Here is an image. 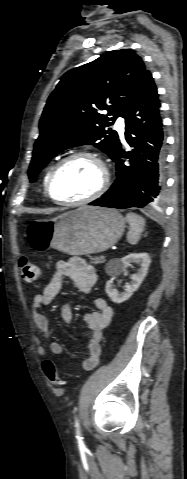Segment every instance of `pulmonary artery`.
I'll use <instances>...</instances> for the list:
<instances>
[{"instance_id": "pulmonary-artery-1", "label": "pulmonary artery", "mask_w": 187, "mask_h": 479, "mask_svg": "<svg viewBox=\"0 0 187 479\" xmlns=\"http://www.w3.org/2000/svg\"><path fill=\"white\" fill-rule=\"evenodd\" d=\"M115 126H116V128L118 129V131H119L120 133L123 132L125 124H124V121H123V119H122L121 117H119V118L116 120Z\"/></svg>"}]
</instances>
